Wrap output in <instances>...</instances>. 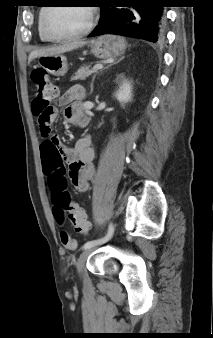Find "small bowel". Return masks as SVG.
I'll return each mask as SVG.
<instances>
[{"label": "small bowel", "mask_w": 213, "mask_h": 338, "mask_svg": "<svg viewBox=\"0 0 213 338\" xmlns=\"http://www.w3.org/2000/svg\"><path fill=\"white\" fill-rule=\"evenodd\" d=\"M84 97V89L80 85H75L58 98L57 104L65 107L64 118L69 123H86V120L78 111L79 105ZM52 119L50 122H52ZM92 158L93 152L91 149V139L89 137L80 139L74 148L59 145L54 147L51 153H46L42 149V169L47 178L50 193L54 194L57 185L63 183L66 179L72 183L76 191L81 193L86 192L88 190L89 181L94 175ZM63 161L68 162L66 167ZM53 210L56 218L59 221L63 220V214L56 212L54 203Z\"/></svg>", "instance_id": "small-bowel-1"}]
</instances>
